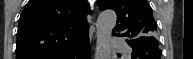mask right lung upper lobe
Returning a JSON list of instances; mask_svg holds the SVG:
<instances>
[{
    "label": "right lung upper lobe",
    "mask_w": 193,
    "mask_h": 59,
    "mask_svg": "<svg viewBox=\"0 0 193 59\" xmlns=\"http://www.w3.org/2000/svg\"><path fill=\"white\" fill-rule=\"evenodd\" d=\"M86 0H30L20 16L16 59H56L88 39Z\"/></svg>",
    "instance_id": "right-lung-upper-lobe-1"
}]
</instances>
